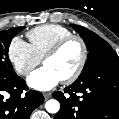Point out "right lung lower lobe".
I'll use <instances>...</instances> for the list:
<instances>
[{"label": "right lung lower lobe", "instance_id": "obj_1", "mask_svg": "<svg viewBox=\"0 0 119 119\" xmlns=\"http://www.w3.org/2000/svg\"><path fill=\"white\" fill-rule=\"evenodd\" d=\"M23 91L25 95H22ZM44 101L40 92L30 90L16 73L0 76V119H29L32 111Z\"/></svg>", "mask_w": 119, "mask_h": 119}]
</instances>
